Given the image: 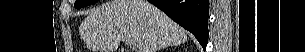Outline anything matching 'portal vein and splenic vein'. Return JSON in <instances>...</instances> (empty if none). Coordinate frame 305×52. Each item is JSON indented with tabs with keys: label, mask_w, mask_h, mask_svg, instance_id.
<instances>
[{
	"label": "portal vein and splenic vein",
	"mask_w": 305,
	"mask_h": 52,
	"mask_svg": "<svg viewBox=\"0 0 305 52\" xmlns=\"http://www.w3.org/2000/svg\"><path fill=\"white\" fill-rule=\"evenodd\" d=\"M126 41H127L129 44H131L133 48L136 46L135 43H134L133 41H130V40H126Z\"/></svg>",
	"instance_id": "1"
}]
</instances>
